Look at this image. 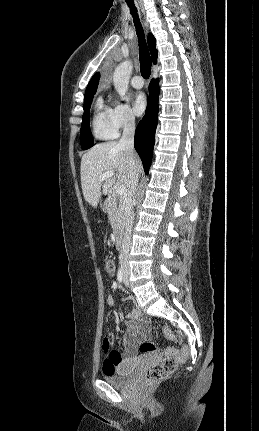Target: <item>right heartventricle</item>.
<instances>
[{
    "label": "right heart ventricle",
    "instance_id": "right-heart-ventricle-1",
    "mask_svg": "<svg viewBox=\"0 0 259 431\" xmlns=\"http://www.w3.org/2000/svg\"><path fill=\"white\" fill-rule=\"evenodd\" d=\"M110 108H108L101 97H99L95 104L92 115V132L93 135L99 140H109L117 136V132L110 122Z\"/></svg>",
    "mask_w": 259,
    "mask_h": 431
}]
</instances>
